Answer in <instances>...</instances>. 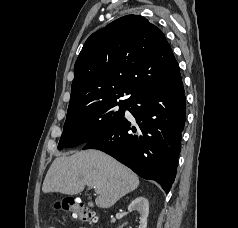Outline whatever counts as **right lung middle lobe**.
Wrapping results in <instances>:
<instances>
[{
  "instance_id": "obj_1",
  "label": "right lung middle lobe",
  "mask_w": 238,
  "mask_h": 228,
  "mask_svg": "<svg viewBox=\"0 0 238 228\" xmlns=\"http://www.w3.org/2000/svg\"><path fill=\"white\" fill-rule=\"evenodd\" d=\"M126 106V101H105L67 114L58 149L87 143L108 130L124 117Z\"/></svg>"
}]
</instances>
